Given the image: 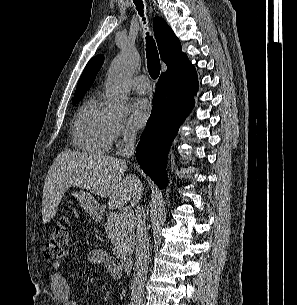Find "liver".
Instances as JSON below:
<instances>
[{
  "label": "liver",
  "mask_w": 297,
  "mask_h": 305,
  "mask_svg": "<svg viewBox=\"0 0 297 305\" xmlns=\"http://www.w3.org/2000/svg\"><path fill=\"white\" fill-rule=\"evenodd\" d=\"M127 163L119 158L100 154L63 151L53 161L45 179L42 198V222L46 224L56 214L59 203L69 187H78L109 197V208L134 205L143 192L134 174L124 177Z\"/></svg>",
  "instance_id": "6515ba94"
}]
</instances>
